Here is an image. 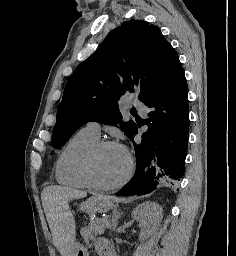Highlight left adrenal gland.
<instances>
[{"instance_id": "1", "label": "left adrenal gland", "mask_w": 236, "mask_h": 256, "mask_svg": "<svg viewBox=\"0 0 236 256\" xmlns=\"http://www.w3.org/2000/svg\"><path fill=\"white\" fill-rule=\"evenodd\" d=\"M113 216L111 218V222H112V228L113 230H115V228H117L119 222V218H121V214L120 212H118L117 208H114L113 212H112Z\"/></svg>"}]
</instances>
